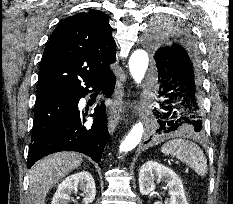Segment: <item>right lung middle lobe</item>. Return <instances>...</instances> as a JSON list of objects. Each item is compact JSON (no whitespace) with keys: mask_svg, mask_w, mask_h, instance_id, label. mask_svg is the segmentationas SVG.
Here are the masks:
<instances>
[{"mask_svg":"<svg viewBox=\"0 0 233 204\" xmlns=\"http://www.w3.org/2000/svg\"><path fill=\"white\" fill-rule=\"evenodd\" d=\"M74 96L58 95L36 102L31 142L43 137L61 124L70 114Z\"/></svg>","mask_w":233,"mask_h":204,"instance_id":"dd1d6c3e","label":"right lung middle lobe"}]
</instances>
